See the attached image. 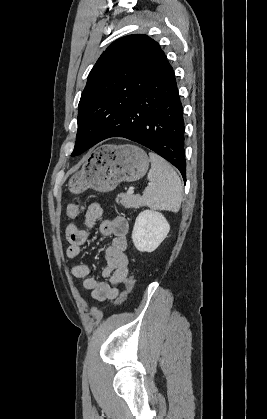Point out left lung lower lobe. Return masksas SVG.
<instances>
[{
  "instance_id": "obj_1",
  "label": "left lung lower lobe",
  "mask_w": 267,
  "mask_h": 419,
  "mask_svg": "<svg viewBox=\"0 0 267 419\" xmlns=\"http://www.w3.org/2000/svg\"><path fill=\"white\" fill-rule=\"evenodd\" d=\"M110 137L146 146L177 167L186 180L183 108L167 60L121 115L107 118L91 147Z\"/></svg>"
}]
</instances>
